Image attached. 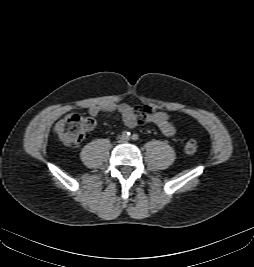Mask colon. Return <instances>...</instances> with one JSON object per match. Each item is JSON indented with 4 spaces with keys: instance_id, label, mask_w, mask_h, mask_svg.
Returning a JSON list of instances; mask_svg holds the SVG:
<instances>
[{
    "instance_id": "colon-1",
    "label": "colon",
    "mask_w": 254,
    "mask_h": 267,
    "mask_svg": "<svg viewBox=\"0 0 254 267\" xmlns=\"http://www.w3.org/2000/svg\"><path fill=\"white\" fill-rule=\"evenodd\" d=\"M95 125L96 121L91 117L70 114L55 125L54 132L64 145L71 147L86 139ZM197 149L198 144L195 140L186 142L185 151L188 154H194Z\"/></svg>"
}]
</instances>
